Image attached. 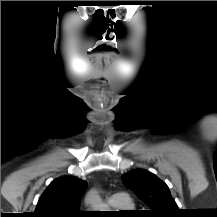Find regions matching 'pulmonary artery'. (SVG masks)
Masks as SVG:
<instances>
[{
  "instance_id": "pulmonary-artery-1",
  "label": "pulmonary artery",
  "mask_w": 217,
  "mask_h": 217,
  "mask_svg": "<svg viewBox=\"0 0 217 217\" xmlns=\"http://www.w3.org/2000/svg\"><path fill=\"white\" fill-rule=\"evenodd\" d=\"M129 202V198L124 192H116L108 198V203L111 206H120Z\"/></svg>"
}]
</instances>
